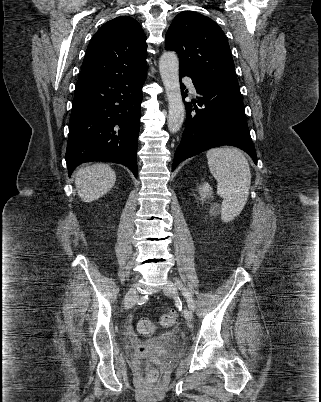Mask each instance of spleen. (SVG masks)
<instances>
[{"mask_svg":"<svg viewBox=\"0 0 321 402\" xmlns=\"http://www.w3.org/2000/svg\"><path fill=\"white\" fill-rule=\"evenodd\" d=\"M211 174L217 180V194L223 198L222 219L232 220L245 206L251 184L249 163L231 147L213 148L206 153Z\"/></svg>","mask_w":321,"mask_h":402,"instance_id":"obj_1","label":"spleen"}]
</instances>
